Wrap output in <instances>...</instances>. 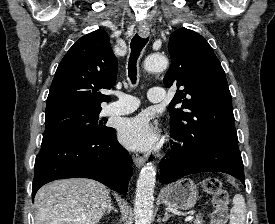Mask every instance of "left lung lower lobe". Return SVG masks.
Returning a JSON list of instances; mask_svg holds the SVG:
<instances>
[{"label":"left lung lower lobe","instance_id":"0a47b994","mask_svg":"<svg viewBox=\"0 0 275 224\" xmlns=\"http://www.w3.org/2000/svg\"><path fill=\"white\" fill-rule=\"evenodd\" d=\"M170 136L182 145L174 143L168 153L169 159L161 161V183L174 182L197 172H224L244 183L243 162L237 141L204 137L187 142L172 132Z\"/></svg>","mask_w":275,"mask_h":224}]
</instances>
